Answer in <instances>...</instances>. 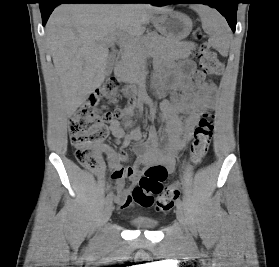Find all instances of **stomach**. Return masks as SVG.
Instances as JSON below:
<instances>
[{
  "label": "stomach",
  "mask_w": 279,
  "mask_h": 267,
  "mask_svg": "<svg viewBox=\"0 0 279 267\" xmlns=\"http://www.w3.org/2000/svg\"><path fill=\"white\" fill-rule=\"evenodd\" d=\"M153 24L161 35L174 41L185 39L192 30L191 19L172 9L159 13L153 18Z\"/></svg>",
  "instance_id": "0dacf381"
}]
</instances>
